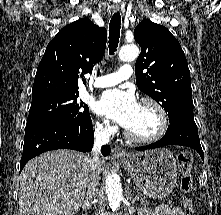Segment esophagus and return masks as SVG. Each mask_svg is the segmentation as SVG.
<instances>
[{
  "label": "esophagus",
  "instance_id": "34e87169",
  "mask_svg": "<svg viewBox=\"0 0 221 215\" xmlns=\"http://www.w3.org/2000/svg\"><path fill=\"white\" fill-rule=\"evenodd\" d=\"M113 10H114V12L119 11L120 6L119 5L114 6ZM113 156H115V157H126L127 154L124 152V150L120 146L115 145L114 148H113Z\"/></svg>",
  "mask_w": 221,
  "mask_h": 215
}]
</instances>
